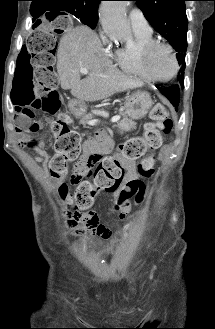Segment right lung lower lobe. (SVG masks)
Wrapping results in <instances>:
<instances>
[{
	"mask_svg": "<svg viewBox=\"0 0 215 329\" xmlns=\"http://www.w3.org/2000/svg\"><path fill=\"white\" fill-rule=\"evenodd\" d=\"M38 8V6L36 5H32L30 8V13H32L33 11H35Z\"/></svg>",
	"mask_w": 215,
	"mask_h": 329,
	"instance_id": "obj_1",
	"label": "right lung lower lobe"
}]
</instances>
